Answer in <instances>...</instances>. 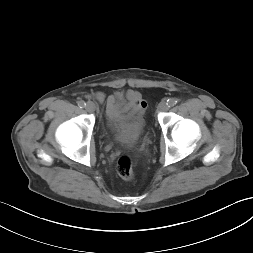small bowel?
<instances>
[{
	"mask_svg": "<svg viewBox=\"0 0 253 253\" xmlns=\"http://www.w3.org/2000/svg\"><path fill=\"white\" fill-rule=\"evenodd\" d=\"M94 97L105 104L106 115L112 123L123 120L127 116H140L146 108V102L140 93L134 90H129L125 97L106 96L102 92H97Z\"/></svg>",
	"mask_w": 253,
	"mask_h": 253,
	"instance_id": "1",
	"label": "small bowel"
}]
</instances>
